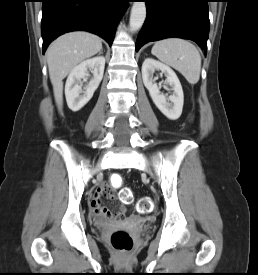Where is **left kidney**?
I'll use <instances>...</instances> for the list:
<instances>
[{"label": "left kidney", "instance_id": "left-kidney-1", "mask_svg": "<svg viewBox=\"0 0 258 275\" xmlns=\"http://www.w3.org/2000/svg\"><path fill=\"white\" fill-rule=\"evenodd\" d=\"M158 70L166 76L165 84H168L173 91L172 95L166 98L160 87L153 80L154 72ZM142 79L145 87L157 108L170 120H177L181 114L184 103V95L181 83L176 73L168 66L152 58H147L142 64Z\"/></svg>", "mask_w": 258, "mask_h": 275}]
</instances>
